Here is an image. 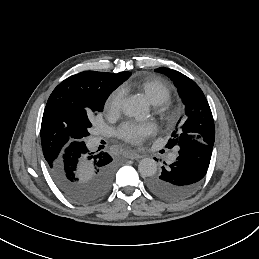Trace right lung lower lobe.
I'll return each instance as SVG.
<instances>
[{"instance_id": "1", "label": "right lung lower lobe", "mask_w": 259, "mask_h": 259, "mask_svg": "<svg viewBox=\"0 0 259 259\" xmlns=\"http://www.w3.org/2000/svg\"><path fill=\"white\" fill-rule=\"evenodd\" d=\"M106 152L90 151L85 142L68 146L60 158L48 165L49 173L60 189L72 201L91 204L110 190L115 164Z\"/></svg>"}]
</instances>
